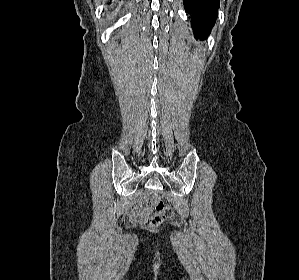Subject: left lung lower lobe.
I'll use <instances>...</instances> for the list:
<instances>
[{
    "label": "left lung lower lobe",
    "instance_id": "1",
    "mask_svg": "<svg viewBox=\"0 0 299 280\" xmlns=\"http://www.w3.org/2000/svg\"><path fill=\"white\" fill-rule=\"evenodd\" d=\"M186 12L192 14V28L196 39L204 40L217 18L219 0H184Z\"/></svg>",
    "mask_w": 299,
    "mask_h": 280
}]
</instances>
